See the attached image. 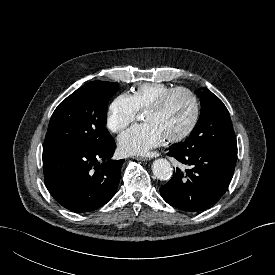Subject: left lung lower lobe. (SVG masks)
Returning a JSON list of instances; mask_svg holds the SVG:
<instances>
[{
    "mask_svg": "<svg viewBox=\"0 0 275 275\" xmlns=\"http://www.w3.org/2000/svg\"><path fill=\"white\" fill-rule=\"evenodd\" d=\"M167 155L190 166L179 168L160 188L162 198L178 209L188 212L204 211L224 195L233 177L237 151L209 148L179 149L170 146Z\"/></svg>",
    "mask_w": 275,
    "mask_h": 275,
    "instance_id": "left-lung-lower-lobe-1",
    "label": "left lung lower lobe"
}]
</instances>
